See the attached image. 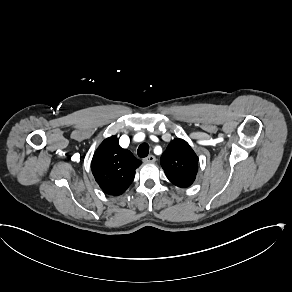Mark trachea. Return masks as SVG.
Masks as SVG:
<instances>
[{
	"label": "trachea",
	"mask_w": 292,
	"mask_h": 292,
	"mask_svg": "<svg viewBox=\"0 0 292 292\" xmlns=\"http://www.w3.org/2000/svg\"><path fill=\"white\" fill-rule=\"evenodd\" d=\"M139 157H147L149 154V145L147 143H142L137 150Z\"/></svg>",
	"instance_id": "trachea-1"
}]
</instances>
